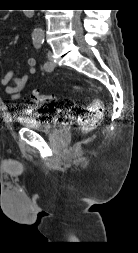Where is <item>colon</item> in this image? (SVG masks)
<instances>
[{
    "instance_id": "obj_1",
    "label": "colon",
    "mask_w": 138,
    "mask_h": 253,
    "mask_svg": "<svg viewBox=\"0 0 138 253\" xmlns=\"http://www.w3.org/2000/svg\"><path fill=\"white\" fill-rule=\"evenodd\" d=\"M77 90H82L77 87ZM30 100L35 104H50L55 98L52 94H43L39 91H33ZM104 113L102 102L95 96L79 116L80 129L83 133L89 132L97 127Z\"/></svg>"
}]
</instances>
